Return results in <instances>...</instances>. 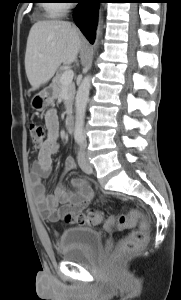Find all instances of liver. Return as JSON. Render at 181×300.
<instances>
[{
    "label": "liver",
    "instance_id": "liver-1",
    "mask_svg": "<svg viewBox=\"0 0 181 300\" xmlns=\"http://www.w3.org/2000/svg\"><path fill=\"white\" fill-rule=\"evenodd\" d=\"M81 48L79 32L66 21H38L30 29L25 71L33 89L46 84L63 63L72 64Z\"/></svg>",
    "mask_w": 181,
    "mask_h": 300
}]
</instances>
